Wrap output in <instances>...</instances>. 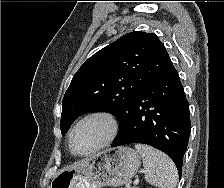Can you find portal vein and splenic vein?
I'll return each mask as SVG.
<instances>
[{
    "mask_svg": "<svg viewBox=\"0 0 224 188\" xmlns=\"http://www.w3.org/2000/svg\"><path fill=\"white\" fill-rule=\"evenodd\" d=\"M134 183H135V184H138V183H139V179H136V180L134 181ZM126 188H130V184H126Z\"/></svg>",
    "mask_w": 224,
    "mask_h": 188,
    "instance_id": "1",
    "label": "portal vein and splenic vein"
}]
</instances>
